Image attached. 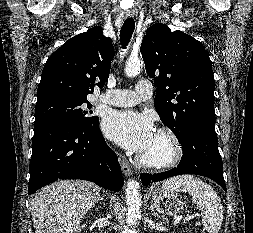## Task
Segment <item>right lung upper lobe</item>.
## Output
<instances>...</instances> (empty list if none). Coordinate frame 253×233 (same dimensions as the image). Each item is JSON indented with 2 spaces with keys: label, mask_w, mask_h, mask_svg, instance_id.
<instances>
[{
  "label": "right lung upper lobe",
  "mask_w": 253,
  "mask_h": 233,
  "mask_svg": "<svg viewBox=\"0 0 253 233\" xmlns=\"http://www.w3.org/2000/svg\"><path fill=\"white\" fill-rule=\"evenodd\" d=\"M114 47L100 26L66 41L46 61L37 103L52 97L87 99L108 80ZM95 81H99L95 84Z\"/></svg>",
  "instance_id": "right-lung-upper-lobe-1"
}]
</instances>
